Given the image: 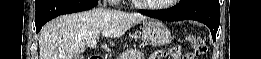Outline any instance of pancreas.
<instances>
[{
    "label": "pancreas",
    "instance_id": "pancreas-1",
    "mask_svg": "<svg viewBox=\"0 0 261 59\" xmlns=\"http://www.w3.org/2000/svg\"><path fill=\"white\" fill-rule=\"evenodd\" d=\"M119 59H145L144 53L137 49H127Z\"/></svg>",
    "mask_w": 261,
    "mask_h": 59
}]
</instances>
